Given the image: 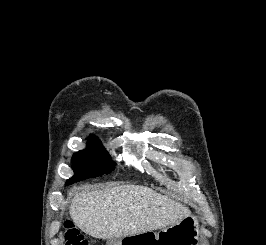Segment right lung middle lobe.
<instances>
[{
	"label": "right lung middle lobe",
	"instance_id": "right-lung-middle-lobe-1",
	"mask_svg": "<svg viewBox=\"0 0 266 245\" xmlns=\"http://www.w3.org/2000/svg\"><path fill=\"white\" fill-rule=\"evenodd\" d=\"M72 168L75 173L66 185L109 174L115 168L101 141L94 135L88 137L87 148L77 152L72 158Z\"/></svg>",
	"mask_w": 266,
	"mask_h": 245
}]
</instances>
